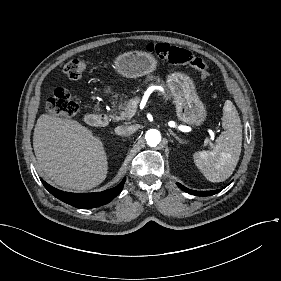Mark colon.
Returning a JSON list of instances; mask_svg holds the SVG:
<instances>
[{
	"label": "colon",
	"instance_id": "obj_1",
	"mask_svg": "<svg viewBox=\"0 0 281 281\" xmlns=\"http://www.w3.org/2000/svg\"><path fill=\"white\" fill-rule=\"evenodd\" d=\"M146 50L169 63L188 64L199 71L204 78L209 76V70L205 62L186 49L172 46L168 43L150 42L146 45ZM86 69L87 60L83 57H77L66 63L64 73L69 79L76 80L84 75ZM76 112L77 104L68 91L59 90L47 101V113L50 116L70 118Z\"/></svg>",
	"mask_w": 281,
	"mask_h": 281
}]
</instances>
